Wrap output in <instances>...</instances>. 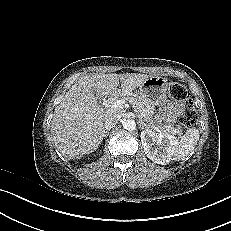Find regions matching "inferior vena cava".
Returning a JSON list of instances; mask_svg holds the SVG:
<instances>
[{
  "label": "inferior vena cava",
  "instance_id": "602c4592",
  "mask_svg": "<svg viewBox=\"0 0 231 231\" xmlns=\"http://www.w3.org/2000/svg\"><path fill=\"white\" fill-rule=\"evenodd\" d=\"M117 123L118 118L116 116L109 115L104 121V127L106 130H110L111 128L115 127Z\"/></svg>",
  "mask_w": 231,
  "mask_h": 231
}]
</instances>
